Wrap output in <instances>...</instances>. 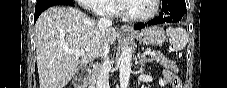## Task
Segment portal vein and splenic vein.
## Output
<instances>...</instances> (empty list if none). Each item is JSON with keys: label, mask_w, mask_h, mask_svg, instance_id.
<instances>
[{"label": "portal vein and splenic vein", "mask_w": 227, "mask_h": 88, "mask_svg": "<svg viewBox=\"0 0 227 88\" xmlns=\"http://www.w3.org/2000/svg\"><path fill=\"white\" fill-rule=\"evenodd\" d=\"M88 51H89V49H85V50H83V49L82 50H77V49L69 50V52L72 53L75 57H79L81 55H84ZM144 55L157 56V54L152 52V51H145Z\"/></svg>", "instance_id": "18ae733b"}]
</instances>
